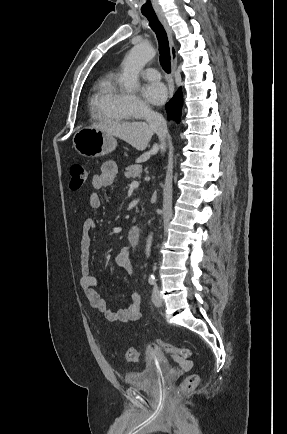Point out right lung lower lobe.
Wrapping results in <instances>:
<instances>
[{
  "label": "right lung lower lobe",
  "mask_w": 287,
  "mask_h": 434,
  "mask_svg": "<svg viewBox=\"0 0 287 434\" xmlns=\"http://www.w3.org/2000/svg\"><path fill=\"white\" fill-rule=\"evenodd\" d=\"M182 102V92L180 87L174 97L166 104L168 118L175 120L177 123L180 122Z\"/></svg>",
  "instance_id": "obj_1"
}]
</instances>
